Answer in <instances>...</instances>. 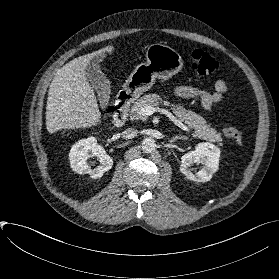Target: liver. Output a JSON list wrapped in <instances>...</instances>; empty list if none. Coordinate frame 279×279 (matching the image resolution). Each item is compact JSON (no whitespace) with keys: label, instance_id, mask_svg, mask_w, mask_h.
I'll list each match as a JSON object with an SVG mask.
<instances>
[{"label":"liver","instance_id":"liver-1","mask_svg":"<svg viewBox=\"0 0 279 279\" xmlns=\"http://www.w3.org/2000/svg\"><path fill=\"white\" fill-rule=\"evenodd\" d=\"M114 49L113 45H108L71 60L58 71L47 98L46 128L50 134L101 124L102 115L85 69L94 56L103 52L112 54Z\"/></svg>","mask_w":279,"mask_h":279}]
</instances>
